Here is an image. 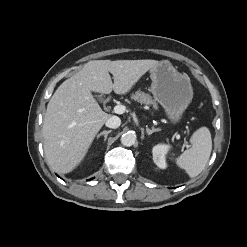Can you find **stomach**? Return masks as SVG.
Here are the masks:
<instances>
[{"mask_svg":"<svg viewBox=\"0 0 247 247\" xmlns=\"http://www.w3.org/2000/svg\"><path fill=\"white\" fill-rule=\"evenodd\" d=\"M151 93L163 107L171 123H178L193 98V89L186 74L163 60L150 69Z\"/></svg>","mask_w":247,"mask_h":247,"instance_id":"obj_1","label":"stomach"}]
</instances>
